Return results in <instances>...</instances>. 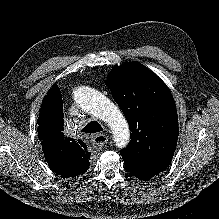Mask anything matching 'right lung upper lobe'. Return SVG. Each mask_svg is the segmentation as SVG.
Instances as JSON below:
<instances>
[{
    "instance_id": "obj_1",
    "label": "right lung upper lobe",
    "mask_w": 219,
    "mask_h": 219,
    "mask_svg": "<svg viewBox=\"0 0 219 219\" xmlns=\"http://www.w3.org/2000/svg\"><path fill=\"white\" fill-rule=\"evenodd\" d=\"M38 118V137L49 167L63 178L84 174L89 168L86 146L63 134L64 114L57 85L43 98Z\"/></svg>"
}]
</instances>
